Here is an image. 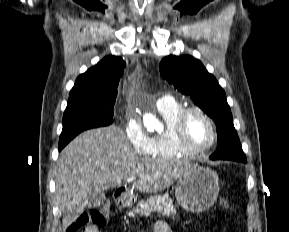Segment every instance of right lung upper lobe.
Wrapping results in <instances>:
<instances>
[{
	"mask_svg": "<svg viewBox=\"0 0 289 232\" xmlns=\"http://www.w3.org/2000/svg\"><path fill=\"white\" fill-rule=\"evenodd\" d=\"M125 65L120 57L103 58L76 79L69 100L79 97H116L117 86Z\"/></svg>",
	"mask_w": 289,
	"mask_h": 232,
	"instance_id": "1",
	"label": "right lung upper lobe"
}]
</instances>
